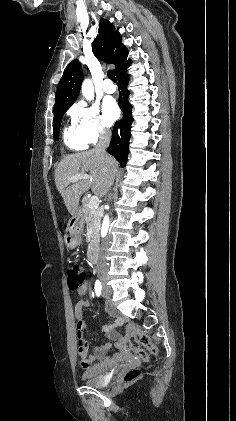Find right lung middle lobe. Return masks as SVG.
Here are the masks:
<instances>
[{"mask_svg":"<svg viewBox=\"0 0 236 421\" xmlns=\"http://www.w3.org/2000/svg\"><path fill=\"white\" fill-rule=\"evenodd\" d=\"M69 107L70 106L54 110V125H53V131L54 132H53V135H54L55 141L59 139L60 124H61L63 115L69 109Z\"/></svg>","mask_w":236,"mask_h":421,"instance_id":"1","label":"right lung middle lobe"}]
</instances>
